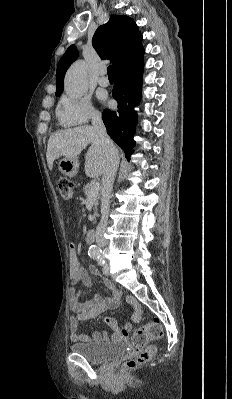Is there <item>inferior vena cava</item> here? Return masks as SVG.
Here are the masks:
<instances>
[{
	"label": "inferior vena cava",
	"instance_id": "obj_1",
	"mask_svg": "<svg viewBox=\"0 0 232 399\" xmlns=\"http://www.w3.org/2000/svg\"><path fill=\"white\" fill-rule=\"evenodd\" d=\"M92 126L99 138L100 144L106 148V166L102 176V201H101V219L96 227V241L100 248H107L108 244L104 237L107 227V219L110 207V194L112 192L114 178L119 166V158L114 144L107 136L106 128L99 114H93L91 118Z\"/></svg>",
	"mask_w": 232,
	"mask_h": 399
}]
</instances>
